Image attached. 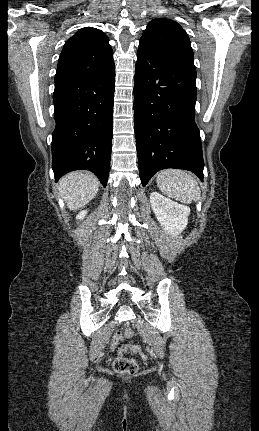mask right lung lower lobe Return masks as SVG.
Masks as SVG:
<instances>
[{"label": "right lung lower lobe", "instance_id": "right-lung-lower-lobe-1", "mask_svg": "<svg viewBox=\"0 0 259 431\" xmlns=\"http://www.w3.org/2000/svg\"><path fill=\"white\" fill-rule=\"evenodd\" d=\"M115 68L55 82L52 169L55 180L90 170L106 186L112 148Z\"/></svg>", "mask_w": 259, "mask_h": 431}]
</instances>
